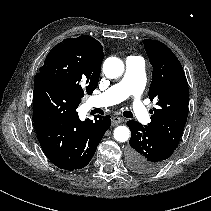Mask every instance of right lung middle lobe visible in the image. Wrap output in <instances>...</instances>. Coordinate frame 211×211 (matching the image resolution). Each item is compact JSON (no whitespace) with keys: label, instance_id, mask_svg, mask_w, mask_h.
<instances>
[{"label":"right lung middle lobe","instance_id":"obj_1","mask_svg":"<svg viewBox=\"0 0 211 211\" xmlns=\"http://www.w3.org/2000/svg\"><path fill=\"white\" fill-rule=\"evenodd\" d=\"M36 77H44L60 84L75 92L79 98L85 93L91 95L99 81V76L89 70L66 40L48 53Z\"/></svg>","mask_w":211,"mask_h":211}]
</instances>
